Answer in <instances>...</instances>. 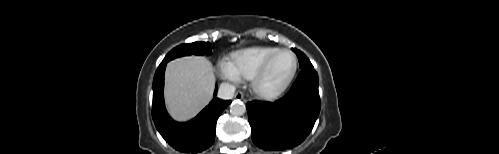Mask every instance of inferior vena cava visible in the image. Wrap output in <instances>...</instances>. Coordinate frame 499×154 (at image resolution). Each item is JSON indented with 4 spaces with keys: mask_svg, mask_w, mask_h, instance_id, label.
<instances>
[{
    "mask_svg": "<svg viewBox=\"0 0 499 154\" xmlns=\"http://www.w3.org/2000/svg\"><path fill=\"white\" fill-rule=\"evenodd\" d=\"M235 86L229 83H222L218 90V97L220 99H232L235 93Z\"/></svg>",
    "mask_w": 499,
    "mask_h": 154,
    "instance_id": "obj_1",
    "label": "inferior vena cava"
}]
</instances>
